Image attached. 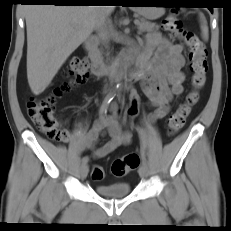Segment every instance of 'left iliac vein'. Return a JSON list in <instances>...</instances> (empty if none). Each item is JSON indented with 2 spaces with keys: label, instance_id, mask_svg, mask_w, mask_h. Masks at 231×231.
I'll use <instances>...</instances> for the list:
<instances>
[{
  "label": "left iliac vein",
  "instance_id": "obj_1",
  "mask_svg": "<svg viewBox=\"0 0 231 231\" xmlns=\"http://www.w3.org/2000/svg\"><path fill=\"white\" fill-rule=\"evenodd\" d=\"M139 175L142 179H147L149 176V168L147 164H141L139 167Z\"/></svg>",
  "mask_w": 231,
  "mask_h": 231
}]
</instances>
